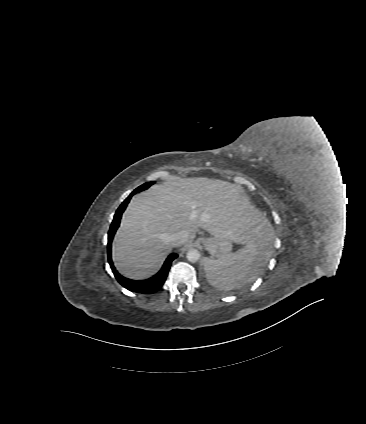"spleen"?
Instances as JSON below:
<instances>
[{
  "mask_svg": "<svg viewBox=\"0 0 366 424\" xmlns=\"http://www.w3.org/2000/svg\"><path fill=\"white\" fill-rule=\"evenodd\" d=\"M264 252L258 244L249 243L235 253L218 259L206 258L204 270L211 285L220 290H232L244 286L256 276L258 264Z\"/></svg>",
  "mask_w": 366,
  "mask_h": 424,
  "instance_id": "1",
  "label": "spleen"
}]
</instances>
